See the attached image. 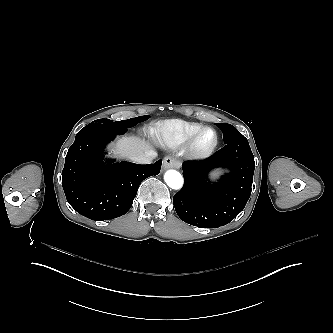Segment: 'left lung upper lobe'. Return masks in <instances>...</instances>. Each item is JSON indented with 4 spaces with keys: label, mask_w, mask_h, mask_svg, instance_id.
<instances>
[{
    "label": "left lung upper lobe",
    "mask_w": 333,
    "mask_h": 333,
    "mask_svg": "<svg viewBox=\"0 0 333 333\" xmlns=\"http://www.w3.org/2000/svg\"><path fill=\"white\" fill-rule=\"evenodd\" d=\"M223 132L224 143H229L230 141L238 138L244 137L235 127L230 124H216Z\"/></svg>",
    "instance_id": "5c2ea615"
}]
</instances>
